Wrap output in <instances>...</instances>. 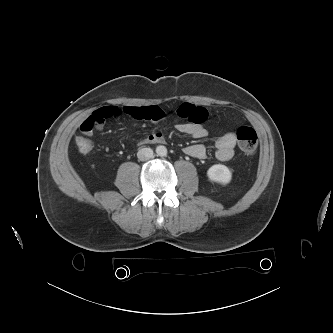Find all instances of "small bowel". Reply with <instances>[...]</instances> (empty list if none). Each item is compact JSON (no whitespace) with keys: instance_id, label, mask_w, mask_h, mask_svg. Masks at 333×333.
<instances>
[{"instance_id":"c3829d8e","label":"small bowel","mask_w":333,"mask_h":333,"mask_svg":"<svg viewBox=\"0 0 333 333\" xmlns=\"http://www.w3.org/2000/svg\"><path fill=\"white\" fill-rule=\"evenodd\" d=\"M179 117L182 122L176 125L178 131L191 136L194 139H202L208 135L204 122L207 120L208 112L204 107L192 103H183L179 106ZM122 115H127L135 119L150 120L156 124L165 119L164 111L158 106L134 107L126 106L118 108L116 106L103 107L95 110L80 125V130L91 135L95 130H99L107 121H115ZM165 141L162 130L158 127L143 140V144L163 143ZM237 138L234 132H227L215 140V155L220 161L230 160L234 153ZM184 153L190 157L202 159L206 156V147L203 144L196 143L184 148Z\"/></svg>"}]
</instances>
